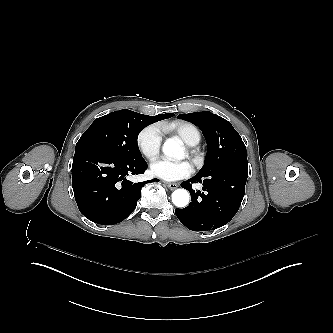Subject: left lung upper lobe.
Returning a JSON list of instances; mask_svg holds the SVG:
<instances>
[{"label": "left lung upper lobe", "instance_id": "5c2ea615", "mask_svg": "<svg viewBox=\"0 0 333 333\" xmlns=\"http://www.w3.org/2000/svg\"><path fill=\"white\" fill-rule=\"evenodd\" d=\"M178 118L197 125L207 140L208 155L198 176H210L230 164H247L246 147L227 120L209 111L180 114Z\"/></svg>", "mask_w": 333, "mask_h": 333}]
</instances>
